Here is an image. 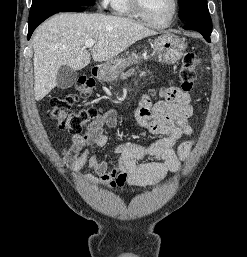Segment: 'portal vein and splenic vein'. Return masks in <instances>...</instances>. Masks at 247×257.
<instances>
[{
	"label": "portal vein and splenic vein",
	"mask_w": 247,
	"mask_h": 257,
	"mask_svg": "<svg viewBox=\"0 0 247 257\" xmlns=\"http://www.w3.org/2000/svg\"><path fill=\"white\" fill-rule=\"evenodd\" d=\"M95 43H96V42H95L94 40H92V39H87V40H85V42H84V46H85L86 48H91Z\"/></svg>",
	"instance_id": "18ae733b"
}]
</instances>
